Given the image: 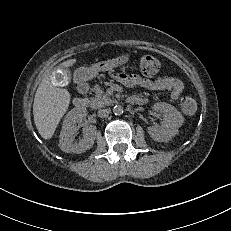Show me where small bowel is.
<instances>
[{"mask_svg": "<svg viewBox=\"0 0 231 231\" xmlns=\"http://www.w3.org/2000/svg\"><path fill=\"white\" fill-rule=\"evenodd\" d=\"M113 77L115 80L128 88H144L148 90L168 91L173 100H177L184 89L183 82L177 77L164 76L152 80L143 78L136 74L126 73H115L113 74Z\"/></svg>", "mask_w": 231, "mask_h": 231, "instance_id": "1", "label": "small bowel"}]
</instances>
